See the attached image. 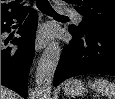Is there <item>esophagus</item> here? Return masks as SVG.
<instances>
[{
	"instance_id": "obj_1",
	"label": "esophagus",
	"mask_w": 115,
	"mask_h": 99,
	"mask_svg": "<svg viewBox=\"0 0 115 99\" xmlns=\"http://www.w3.org/2000/svg\"><path fill=\"white\" fill-rule=\"evenodd\" d=\"M46 46V40H42L39 36L36 39L35 50L38 52Z\"/></svg>"
}]
</instances>
